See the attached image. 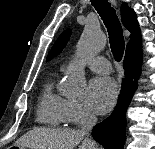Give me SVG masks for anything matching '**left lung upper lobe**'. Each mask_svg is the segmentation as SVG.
<instances>
[{"instance_id": "5c2ea615", "label": "left lung upper lobe", "mask_w": 155, "mask_h": 149, "mask_svg": "<svg viewBox=\"0 0 155 149\" xmlns=\"http://www.w3.org/2000/svg\"><path fill=\"white\" fill-rule=\"evenodd\" d=\"M71 33L72 32L70 29L63 31V33L56 40L55 44L51 48V51L49 52L48 57H47L48 61L54 58L56 55H58L63 50V48L66 46L70 38Z\"/></svg>"}]
</instances>
